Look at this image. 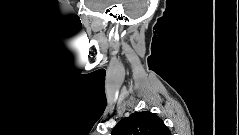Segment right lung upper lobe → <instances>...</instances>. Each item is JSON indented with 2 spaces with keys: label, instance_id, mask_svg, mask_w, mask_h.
<instances>
[{
  "label": "right lung upper lobe",
  "instance_id": "obj_1",
  "mask_svg": "<svg viewBox=\"0 0 239 135\" xmlns=\"http://www.w3.org/2000/svg\"><path fill=\"white\" fill-rule=\"evenodd\" d=\"M112 135H171L164 122L149 111L135 112L113 128Z\"/></svg>",
  "mask_w": 239,
  "mask_h": 135
}]
</instances>
